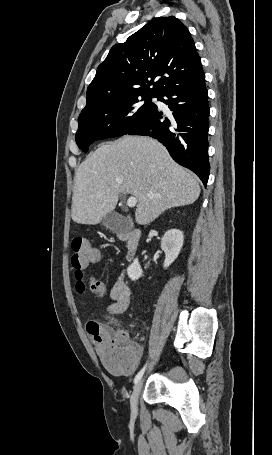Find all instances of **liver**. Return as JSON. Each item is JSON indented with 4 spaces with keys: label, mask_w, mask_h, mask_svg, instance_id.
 <instances>
[{
    "label": "liver",
    "mask_w": 272,
    "mask_h": 455,
    "mask_svg": "<svg viewBox=\"0 0 272 455\" xmlns=\"http://www.w3.org/2000/svg\"><path fill=\"white\" fill-rule=\"evenodd\" d=\"M72 219L94 225L112 212L120 193L137 198L136 222L146 225L165 210L194 203L197 180L157 140L124 136L102 144L75 173Z\"/></svg>",
    "instance_id": "liver-1"
}]
</instances>
